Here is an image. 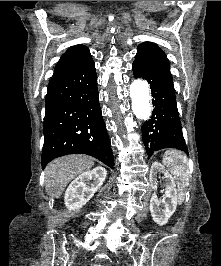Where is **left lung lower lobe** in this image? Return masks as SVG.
I'll return each instance as SVG.
<instances>
[{
	"instance_id": "0a47b994",
	"label": "left lung lower lobe",
	"mask_w": 221,
	"mask_h": 266,
	"mask_svg": "<svg viewBox=\"0 0 221 266\" xmlns=\"http://www.w3.org/2000/svg\"><path fill=\"white\" fill-rule=\"evenodd\" d=\"M135 78L148 81L154 106L151 119L142 125V137L148 158L160 149L176 148L188 154L176 104L170 72L147 68L134 61Z\"/></svg>"
}]
</instances>
